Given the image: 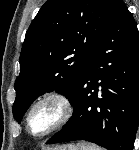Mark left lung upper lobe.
<instances>
[{"mask_svg": "<svg viewBox=\"0 0 139 150\" xmlns=\"http://www.w3.org/2000/svg\"><path fill=\"white\" fill-rule=\"evenodd\" d=\"M116 0H48L26 32L13 115L21 122L30 104L56 90L75 95Z\"/></svg>", "mask_w": 139, "mask_h": 150, "instance_id": "1", "label": "left lung upper lobe"}]
</instances>
